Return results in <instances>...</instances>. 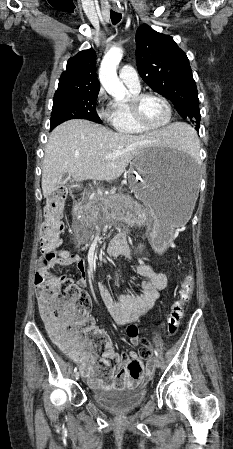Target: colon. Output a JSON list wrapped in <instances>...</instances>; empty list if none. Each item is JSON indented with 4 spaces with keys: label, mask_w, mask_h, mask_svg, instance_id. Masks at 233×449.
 <instances>
[{
    "label": "colon",
    "mask_w": 233,
    "mask_h": 449,
    "mask_svg": "<svg viewBox=\"0 0 233 449\" xmlns=\"http://www.w3.org/2000/svg\"><path fill=\"white\" fill-rule=\"evenodd\" d=\"M65 202L64 193H56L47 198L45 221L42 227L41 250L43 256L38 261L36 281L46 285L40 296L39 308L45 320L51 338L57 345H65L71 340H80L86 346L97 347L105 341L94 327L88 314L90 299L68 279L61 283L52 280L48 275L51 260L60 255L58 251L61 242L63 223L61 221ZM194 289V277L188 274L184 277L178 299L173 303L166 320V332L176 335ZM140 349L137 355L124 357L118 365V376L140 375L143 369L141 359L151 355V348L146 338L140 339ZM119 379V378H118ZM117 387H123L121 381Z\"/></svg>",
    "instance_id": "1"
}]
</instances>
